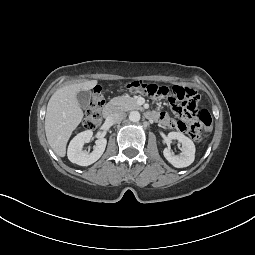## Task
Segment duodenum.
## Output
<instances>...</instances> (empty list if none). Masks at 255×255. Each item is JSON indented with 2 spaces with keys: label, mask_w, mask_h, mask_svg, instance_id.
Returning a JSON list of instances; mask_svg holds the SVG:
<instances>
[{
  "label": "duodenum",
  "mask_w": 255,
  "mask_h": 255,
  "mask_svg": "<svg viewBox=\"0 0 255 255\" xmlns=\"http://www.w3.org/2000/svg\"><path fill=\"white\" fill-rule=\"evenodd\" d=\"M115 109L113 106L108 105L103 110V116L106 120H111L114 116ZM147 117L150 119H157V114L155 112H148Z\"/></svg>",
  "instance_id": "1"
}]
</instances>
